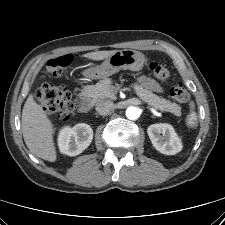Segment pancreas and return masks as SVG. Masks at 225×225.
<instances>
[{
	"label": "pancreas",
	"instance_id": "pancreas-1",
	"mask_svg": "<svg viewBox=\"0 0 225 225\" xmlns=\"http://www.w3.org/2000/svg\"><path fill=\"white\" fill-rule=\"evenodd\" d=\"M135 90L136 95L149 106H152L158 110L173 113L175 116H181L180 105L161 98L154 94L153 92L143 88L141 85L134 83L132 85ZM119 89V84L112 85V80L110 78H104L100 80L96 85L86 86L84 88V93L91 97L93 100L100 99H116V93Z\"/></svg>",
	"mask_w": 225,
	"mask_h": 225
}]
</instances>
